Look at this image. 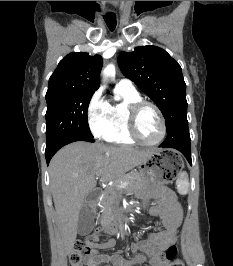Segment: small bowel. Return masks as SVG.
Segmentation results:
<instances>
[{
  "label": "small bowel",
  "instance_id": "1",
  "mask_svg": "<svg viewBox=\"0 0 233 266\" xmlns=\"http://www.w3.org/2000/svg\"><path fill=\"white\" fill-rule=\"evenodd\" d=\"M151 197L155 203L150 213L159 216L163 230L148 235L145 240L133 242L130 250L137 253L131 260H125L119 254L99 253L100 249H108L114 245V240L93 243L90 252L85 256V266H136L146 261L151 266H169L162 257V253L178 239V230L182 221V208L175 193L166 187L160 188ZM149 196H144V201Z\"/></svg>",
  "mask_w": 233,
  "mask_h": 266
}]
</instances>
